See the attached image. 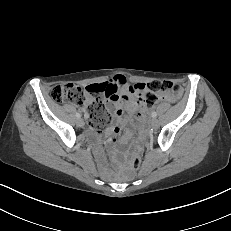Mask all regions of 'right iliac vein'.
<instances>
[{
	"label": "right iliac vein",
	"mask_w": 231,
	"mask_h": 231,
	"mask_svg": "<svg viewBox=\"0 0 231 231\" xmlns=\"http://www.w3.org/2000/svg\"><path fill=\"white\" fill-rule=\"evenodd\" d=\"M76 124L78 127H83L84 126V120L82 118H78L76 121Z\"/></svg>",
	"instance_id": "obj_1"
}]
</instances>
